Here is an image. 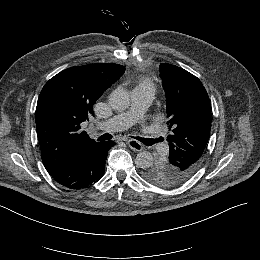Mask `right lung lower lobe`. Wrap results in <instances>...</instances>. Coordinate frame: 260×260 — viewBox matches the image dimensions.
Returning <instances> with one entry per match:
<instances>
[{"instance_id":"obj_1","label":"right lung lower lobe","mask_w":260,"mask_h":260,"mask_svg":"<svg viewBox=\"0 0 260 260\" xmlns=\"http://www.w3.org/2000/svg\"><path fill=\"white\" fill-rule=\"evenodd\" d=\"M113 141L99 142L80 154L72 163L50 174L53 179L69 189H82L98 182L104 174L105 160Z\"/></svg>"}]
</instances>
